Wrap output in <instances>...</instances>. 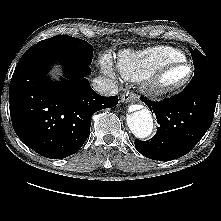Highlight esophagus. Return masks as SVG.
Returning <instances> with one entry per match:
<instances>
[{"label":"esophagus","instance_id":"1","mask_svg":"<svg viewBox=\"0 0 221 221\" xmlns=\"http://www.w3.org/2000/svg\"><path fill=\"white\" fill-rule=\"evenodd\" d=\"M135 99H136V94L133 92H126L121 96V101L125 103L134 101Z\"/></svg>","mask_w":221,"mask_h":221}]
</instances>
